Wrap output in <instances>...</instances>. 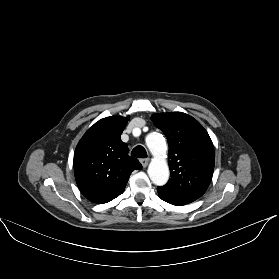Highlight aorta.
<instances>
[{
	"label": "aorta",
	"instance_id": "aorta-1",
	"mask_svg": "<svg viewBox=\"0 0 279 279\" xmlns=\"http://www.w3.org/2000/svg\"><path fill=\"white\" fill-rule=\"evenodd\" d=\"M145 141L154 157L148 167V175L155 185H165L169 179V167L165 159L167 152L165 138L158 132H151Z\"/></svg>",
	"mask_w": 279,
	"mask_h": 279
}]
</instances>
